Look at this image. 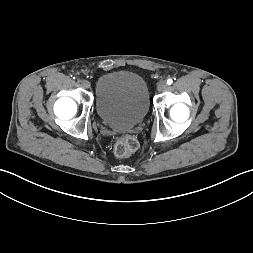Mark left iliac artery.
<instances>
[{"label": "left iliac artery", "mask_w": 253, "mask_h": 253, "mask_svg": "<svg viewBox=\"0 0 253 253\" xmlns=\"http://www.w3.org/2000/svg\"><path fill=\"white\" fill-rule=\"evenodd\" d=\"M172 83H173V80H172V79H168V80H167V84H168V85H171Z\"/></svg>", "instance_id": "obj_1"}]
</instances>
